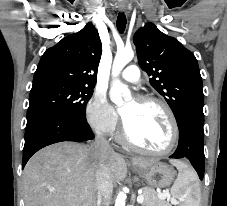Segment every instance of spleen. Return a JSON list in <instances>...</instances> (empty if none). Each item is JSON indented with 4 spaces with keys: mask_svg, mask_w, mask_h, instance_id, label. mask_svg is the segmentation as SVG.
Segmentation results:
<instances>
[{
    "mask_svg": "<svg viewBox=\"0 0 227 206\" xmlns=\"http://www.w3.org/2000/svg\"><path fill=\"white\" fill-rule=\"evenodd\" d=\"M179 171L178 177L171 188L173 197L180 201V206H199L200 188L194 171L189 170L184 163L171 162Z\"/></svg>",
    "mask_w": 227,
    "mask_h": 206,
    "instance_id": "3e777b00",
    "label": "spleen"
}]
</instances>
